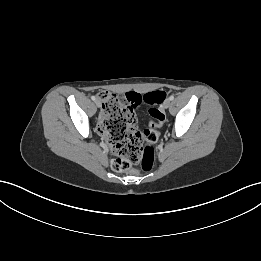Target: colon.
Returning a JSON list of instances; mask_svg holds the SVG:
<instances>
[{"label":"colon","instance_id":"colon-1","mask_svg":"<svg viewBox=\"0 0 261 261\" xmlns=\"http://www.w3.org/2000/svg\"><path fill=\"white\" fill-rule=\"evenodd\" d=\"M165 96L164 91H152L143 96L130 93L123 102L112 92L99 93L103 108L100 131L109 139L114 155L111 161L114 171L126 172L135 164L144 171L152 168L154 144L159 137L156 127L167 120L166 110L163 107L151 108L149 113L154 121L143 133L135 127L133 111L142 102L158 105L162 103Z\"/></svg>","mask_w":261,"mask_h":261}]
</instances>
